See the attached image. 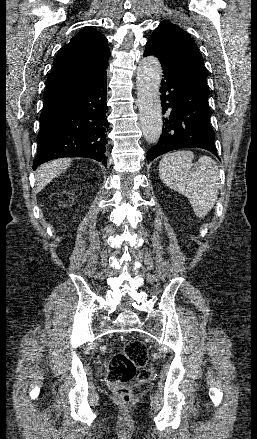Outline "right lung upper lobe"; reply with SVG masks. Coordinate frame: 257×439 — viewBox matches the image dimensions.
Listing matches in <instances>:
<instances>
[{
	"mask_svg": "<svg viewBox=\"0 0 257 439\" xmlns=\"http://www.w3.org/2000/svg\"><path fill=\"white\" fill-rule=\"evenodd\" d=\"M109 56L102 33L94 28L81 30L56 56L44 97L100 77L106 72Z\"/></svg>",
	"mask_w": 257,
	"mask_h": 439,
	"instance_id": "obj_1",
	"label": "right lung upper lobe"
}]
</instances>
